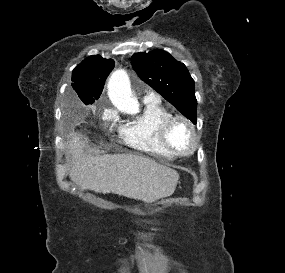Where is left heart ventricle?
<instances>
[{
    "instance_id": "left-heart-ventricle-1",
    "label": "left heart ventricle",
    "mask_w": 285,
    "mask_h": 273,
    "mask_svg": "<svg viewBox=\"0 0 285 273\" xmlns=\"http://www.w3.org/2000/svg\"><path fill=\"white\" fill-rule=\"evenodd\" d=\"M170 140L174 146L183 150L188 149L192 141L188 129L182 123L173 126L170 132Z\"/></svg>"
}]
</instances>
